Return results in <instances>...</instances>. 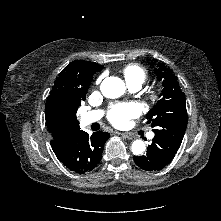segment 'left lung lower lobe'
<instances>
[{
    "label": "left lung lower lobe",
    "mask_w": 221,
    "mask_h": 221,
    "mask_svg": "<svg viewBox=\"0 0 221 221\" xmlns=\"http://www.w3.org/2000/svg\"><path fill=\"white\" fill-rule=\"evenodd\" d=\"M180 145L179 141L155 136L147 153L134 156V161L143 170H161L175 157Z\"/></svg>",
    "instance_id": "1"
}]
</instances>
